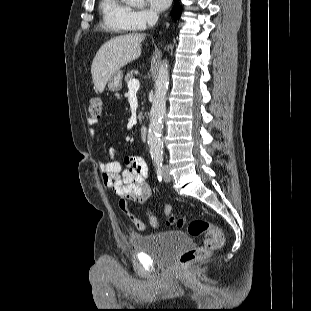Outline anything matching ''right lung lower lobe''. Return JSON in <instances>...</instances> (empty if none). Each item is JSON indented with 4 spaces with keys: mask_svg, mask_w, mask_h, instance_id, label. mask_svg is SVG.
Segmentation results:
<instances>
[{
    "mask_svg": "<svg viewBox=\"0 0 311 311\" xmlns=\"http://www.w3.org/2000/svg\"><path fill=\"white\" fill-rule=\"evenodd\" d=\"M181 12V7H179V0H175L174 8L172 10V14H174L175 20L179 17Z\"/></svg>",
    "mask_w": 311,
    "mask_h": 311,
    "instance_id": "obj_1",
    "label": "right lung lower lobe"
}]
</instances>
